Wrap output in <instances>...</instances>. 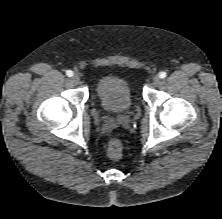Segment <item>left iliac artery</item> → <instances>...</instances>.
<instances>
[{
	"label": "left iliac artery",
	"mask_w": 222,
	"mask_h": 219,
	"mask_svg": "<svg viewBox=\"0 0 222 219\" xmlns=\"http://www.w3.org/2000/svg\"><path fill=\"white\" fill-rule=\"evenodd\" d=\"M166 76H167L166 72H160V73H159V77H160L161 79H164Z\"/></svg>",
	"instance_id": "left-iliac-artery-1"
}]
</instances>
